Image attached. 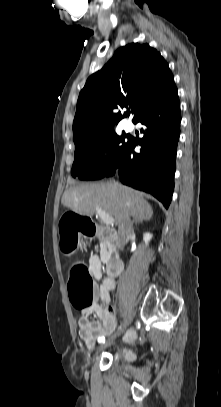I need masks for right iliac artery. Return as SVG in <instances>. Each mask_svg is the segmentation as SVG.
Wrapping results in <instances>:
<instances>
[{
	"instance_id": "82829eb1",
	"label": "right iliac artery",
	"mask_w": 221,
	"mask_h": 407,
	"mask_svg": "<svg viewBox=\"0 0 221 407\" xmlns=\"http://www.w3.org/2000/svg\"><path fill=\"white\" fill-rule=\"evenodd\" d=\"M98 342H99V343H104V342H105V337L99 338V339H98Z\"/></svg>"
}]
</instances>
